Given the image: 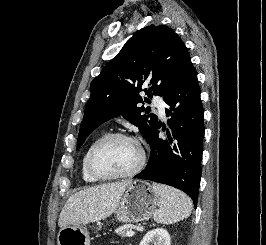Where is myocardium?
Masks as SVG:
<instances>
[{
    "label": "myocardium",
    "instance_id": "myocardium-1",
    "mask_svg": "<svg viewBox=\"0 0 266 245\" xmlns=\"http://www.w3.org/2000/svg\"><path fill=\"white\" fill-rule=\"evenodd\" d=\"M112 139H124L133 142L136 144V146L139 149V160L136 164V166L128 173L121 174V175H106L102 172H100L95 164V157L99 149L108 141ZM146 159V152L142 144L134 137L123 133V132H109L104 135H102L100 138H98L95 143L92 145V147L89 150L88 153V169L90 173L98 180L100 181H110V180H120V179H127L131 178L135 175H137L141 169L143 168L145 164Z\"/></svg>",
    "mask_w": 266,
    "mask_h": 245
}]
</instances>
